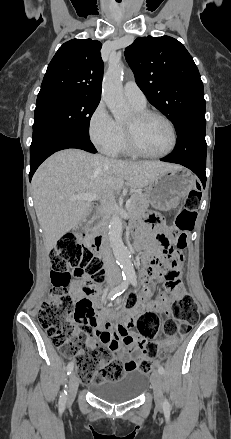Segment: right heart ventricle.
Instances as JSON below:
<instances>
[{"instance_id":"1","label":"right heart ventricle","mask_w":231,"mask_h":439,"mask_svg":"<svg viewBox=\"0 0 231 439\" xmlns=\"http://www.w3.org/2000/svg\"><path fill=\"white\" fill-rule=\"evenodd\" d=\"M133 107L136 109V111L144 109V107H137L134 105H133ZM119 127H120V131H121V140H120L119 145L112 152H110V154H113V155L129 153V150H128V147L126 144L125 128L121 124H119Z\"/></svg>"}]
</instances>
